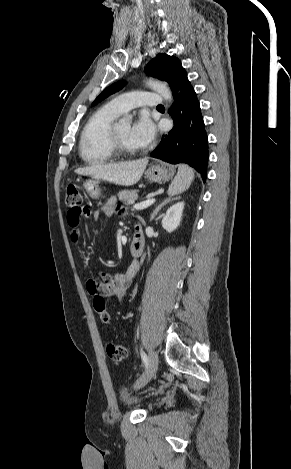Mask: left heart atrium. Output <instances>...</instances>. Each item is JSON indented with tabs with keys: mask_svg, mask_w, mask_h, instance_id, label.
I'll use <instances>...</instances> for the list:
<instances>
[{
	"mask_svg": "<svg viewBox=\"0 0 291 469\" xmlns=\"http://www.w3.org/2000/svg\"><path fill=\"white\" fill-rule=\"evenodd\" d=\"M155 135L156 127L146 113L139 116L130 131L131 140L138 148L148 146L154 140Z\"/></svg>",
	"mask_w": 291,
	"mask_h": 469,
	"instance_id": "1",
	"label": "left heart atrium"
}]
</instances>
